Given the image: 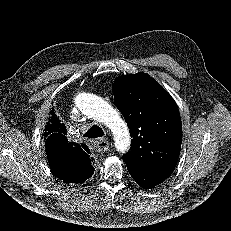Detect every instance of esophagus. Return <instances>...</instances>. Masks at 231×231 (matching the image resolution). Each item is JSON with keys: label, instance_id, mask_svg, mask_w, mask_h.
<instances>
[{"label": "esophagus", "instance_id": "34e87169", "mask_svg": "<svg viewBox=\"0 0 231 231\" xmlns=\"http://www.w3.org/2000/svg\"><path fill=\"white\" fill-rule=\"evenodd\" d=\"M109 148V141L106 139H98L95 143V150L97 152H105Z\"/></svg>", "mask_w": 231, "mask_h": 231}]
</instances>
